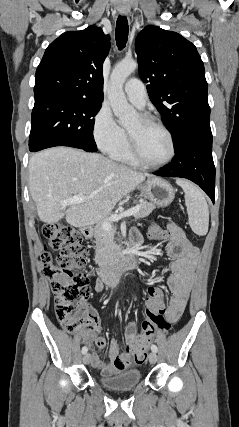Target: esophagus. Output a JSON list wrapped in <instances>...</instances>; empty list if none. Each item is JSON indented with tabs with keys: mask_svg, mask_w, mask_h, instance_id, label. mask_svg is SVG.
<instances>
[{
	"mask_svg": "<svg viewBox=\"0 0 239 427\" xmlns=\"http://www.w3.org/2000/svg\"><path fill=\"white\" fill-rule=\"evenodd\" d=\"M122 15H126V13H122Z\"/></svg>",
	"mask_w": 239,
	"mask_h": 427,
	"instance_id": "1",
	"label": "esophagus"
}]
</instances>
